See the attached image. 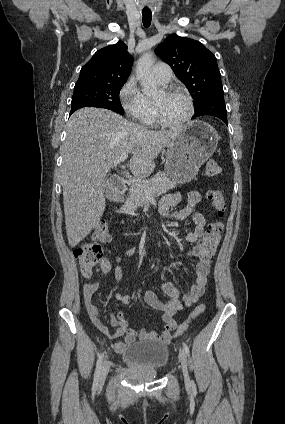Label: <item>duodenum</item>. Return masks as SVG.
<instances>
[{
	"mask_svg": "<svg viewBox=\"0 0 285 424\" xmlns=\"http://www.w3.org/2000/svg\"><path fill=\"white\" fill-rule=\"evenodd\" d=\"M125 181L120 176H114L110 180V187L113 194H120L125 190Z\"/></svg>",
	"mask_w": 285,
	"mask_h": 424,
	"instance_id": "1",
	"label": "duodenum"
}]
</instances>
